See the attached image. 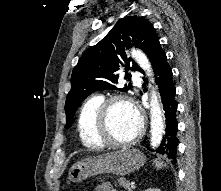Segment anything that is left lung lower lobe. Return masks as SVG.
I'll return each mask as SVG.
<instances>
[{
  "label": "left lung lower lobe",
  "mask_w": 221,
  "mask_h": 191,
  "mask_svg": "<svg viewBox=\"0 0 221 191\" xmlns=\"http://www.w3.org/2000/svg\"><path fill=\"white\" fill-rule=\"evenodd\" d=\"M147 55L153 65L155 76H157L156 83L159 86L166 118L165 134L156 151L175 162L178 147L175 87L172 81V70L167 63L166 54L161 48L158 37L153 40ZM141 72L143 73L142 70Z\"/></svg>",
  "instance_id": "0a47b994"
}]
</instances>
